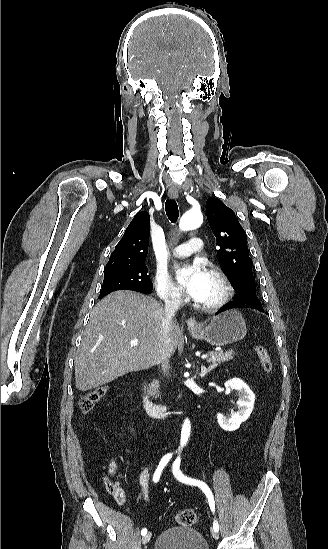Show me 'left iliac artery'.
Masks as SVG:
<instances>
[{
	"instance_id": "44dca946",
	"label": "left iliac artery",
	"mask_w": 328,
	"mask_h": 549,
	"mask_svg": "<svg viewBox=\"0 0 328 549\" xmlns=\"http://www.w3.org/2000/svg\"><path fill=\"white\" fill-rule=\"evenodd\" d=\"M180 462H181L180 457H177V459L174 461L173 466H172V471H173V474H174L175 478L177 480L183 482V483L200 487L201 490L206 494V496L208 498L209 506H210L212 512H214L215 511L214 497H213V494H212L211 490L207 486V484H205L204 482H202L200 480H196V479H192V478H189L187 476H184L182 474L181 470H180ZM213 529L215 531L219 530V524L216 520H214Z\"/></svg>"
}]
</instances>
